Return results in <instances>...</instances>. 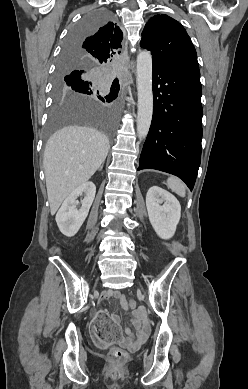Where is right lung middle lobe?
I'll list each match as a JSON object with an SVG mask.
<instances>
[{
    "label": "right lung middle lobe",
    "instance_id": "obj_1",
    "mask_svg": "<svg viewBox=\"0 0 248 389\" xmlns=\"http://www.w3.org/2000/svg\"><path fill=\"white\" fill-rule=\"evenodd\" d=\"M111 17L112 14L108 10H93L86 14L69 34L64 49L75 41L93 34L100 26L109 22ZM75 70L85 72L68 79V75ZM96 70L95 67L77 63L74 59L64 66V59H60L48 135L69 125H91L101 129L109 138H112L114 128L112 114L102 106L87 101L85 96L97 94L102 102H111L117 98L119 90L113 84L110 91L108 87L104 90L98 89L97 83L98 80H102V77H94Z\"/></svg>",
    "mask_w": 248,
    "mask_h": 389
}]
</instances>
